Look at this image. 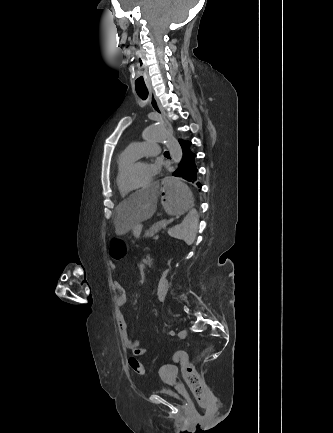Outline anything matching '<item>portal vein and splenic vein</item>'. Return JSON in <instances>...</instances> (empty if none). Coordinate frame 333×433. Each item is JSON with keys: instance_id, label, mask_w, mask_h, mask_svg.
<instances>
[{"instance_id": "obj_1", "label": "portal vein and splenic vein", "mask_w": 333, "mask_h": 433, "mask_svg": "<svg viewBox=\"0 0 333 433\" xmlns=\"http://www.w3.org/2000/svg\"><path fill=\"white\" fill-rule=\"evenodd\" d=\"M162 229H163V230H166V225H164V226L162 227ZM158 238H159L158 236L155 237V240H158Z\"/></svg>"}]
</instances>
